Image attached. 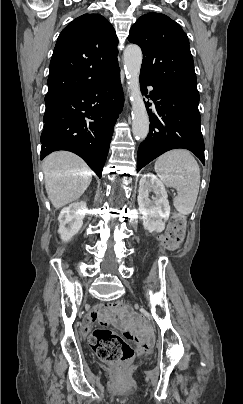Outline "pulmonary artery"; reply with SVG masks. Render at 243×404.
<instances>
[{"label":"pulmonary artery","mask_w":243,"mask_h":404,"mask_svg":"<svg viewBox=\"0 0 243 404\" xmlns=\"http://www.w3.org/2000/svg\"><path fill=\"white\" fill-rule=\"evenodd\" d=\"M148 89H149L150 91H152V90H153V86L149 85V86H148Z\"/></svg>","instance_id":"obj_1"}]
</instances>
